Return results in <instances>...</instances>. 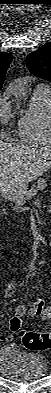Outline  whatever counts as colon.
Returning a JSON list of instances; mask_svg holds the SVG:
<instances>
[{
    "label": "colon",
    "mask_w": 51,
    "mask_h": 393,
    "mask_svg": "<svg viewBox=\"0 0 51 393\" xmlns=\"http://www.w3.org/2000/svg\"><path fill=\"white\" fill-rule=\"evenodd\" d=\"M43 303L40 301L35 303V308H41ZM22 321L19 317H13L10 321V328L13 332H17L21 328ZM23 345L25 348L34 351H44L51 346V337L48 333H27L23 337Z\"/></svg>",
    "instance_id": "colon-1"
}]
</instances>
